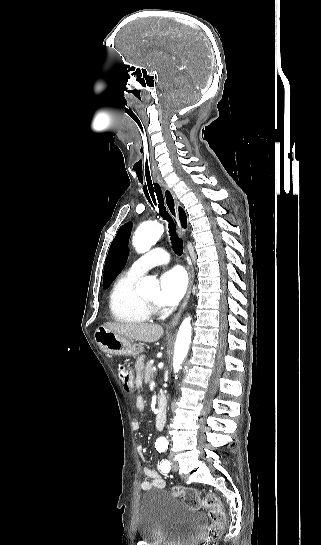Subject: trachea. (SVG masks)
I'll return each mask as SVG.
<instances>
[{"label": "trachea", "mask_w": 321, "mask_h": 545, "mask_svg": "<svg viewBox=\"0 0 321 545\" xmlns=\"http://www.w3.org/2000/svg\"><path fill=\"white\" fill-rule=\"evenodd\" d=\"M119 111L121 113H126L127 116H130L134 124H137L138 126L141 124L139 122L138 115L136 113H133V110L130 109V107L121 106L119 108ZM138 128L140 129L139 131L143 134L140 137L142 140L141 142L146 147V149L144 150L145 152L143 153L144 167L142 169V172L145 175L143 178V181H144L143 191L145 193L146 198L152 204V206H155L159 210V213L160 215H162L163 219L168 222L169 235H170L171 245L174 252L177 255H182L183 248H184L183 241L181 240V238L177 236L176 225L173 221V218L171 217V215H169L165 207L162 191L160 186L158 185L159 178L157 174H152L153 172L152 168L154 164H153L152 153L147 148L149 146L147 144L148 142L147 141L148 137L146 136L147 133L143 129L144 127L142 125H140Z\"/></svg>", "instance_id": "trachea-1"}]
</instances>
